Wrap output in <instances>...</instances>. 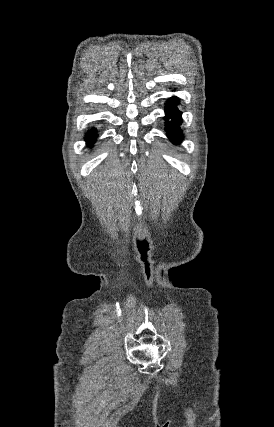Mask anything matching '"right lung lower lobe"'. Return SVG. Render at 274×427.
<instances>
[{
  "instance_id": "1",
  "label": "right lung lower lobe",
  "mask_w": 274,
  "mask_h": 427,
  "mask_svg": "<svg viewBox=\"0 0 274 427\" xmlns=\"http://www.w3.org/2000/svg\"><path fill=\"white\" fill-rule=\"evenodd\" d=\"M95 137H96V134L94 131H91L89 134H87L86 140L88 144H91L94 141Z\"/></svg>"
}]
</instances>
